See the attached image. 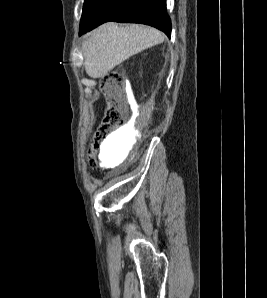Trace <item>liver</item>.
I'll return each instance as SVG.
<instances>
[{
	"instance_id": "1",
	"label": "liver",
	"mask_w": 267,
	"mask_h": 298,
	"mask_svg": "<svg viewBox=\"0 0 267 298\" xmlns=\"http://www.w3.org/2000/svg\"><path fill=\"white\" fill-rule=\"evenodd\" d=\"M163 40L162 33L152 27L105 23L93 30L82 44L85 71L91 78L104 77L129 57Z\"/></svg>"
}]
</instances>
